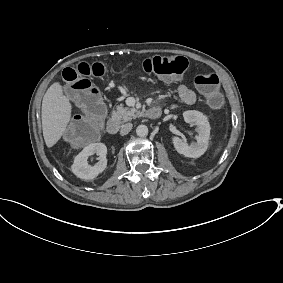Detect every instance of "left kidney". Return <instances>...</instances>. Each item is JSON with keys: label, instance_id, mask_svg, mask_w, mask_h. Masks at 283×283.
I'll return each mask as SVG.
<instances>
[{"label": "left kidney", "instance_id": "5707ae66", "mask_svg": "<svg viewBox=\"0 0 283 283\" xmlns=\"http://www.w3.org/2000/svg\"><path fill=\"white\" fill-rule=\"evenodd\" d=\"M184 121L187 124L195 125L197 131V142L191 143L189 146L186 142H183L178 136H172V144L175 150L187 158H199L201 157L208 146V139L210 135V126L206 116L198 111H186L183 113Z\"/></svg>", "mask_w": 283, "mask_h": 283}]
</instances>
